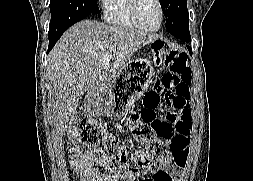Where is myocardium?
Here are the masks:
<instances>
[{
	"mask_svg": "<svg viewBox=\"0 0 253 181\" xmlns=\"http://www.w3.org/2000/svg\"><path fill=\"white\" fill-rule=\"evenodd\" d=\"M155 1L158 4L159 10H160V23L156 28H148L141 23L138 16L139 0H129V13H130L131 19L139 29L147 31V32H157L163 27V24L165 21L164 5L161 0H155Z\"/></svg>",
	"mask_w": 253,
	"mask_h": 181,
	"instance_id": "1",
	"label": "myocardium"
}]
</instances>
